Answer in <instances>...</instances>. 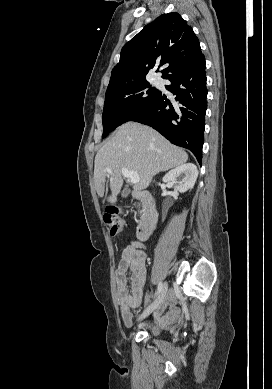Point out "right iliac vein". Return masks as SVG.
Segmentation results:
<instances>
[{"label": "right iliac vein", "instance_id": "1", "mask_svg": "<svg viewBox=\"0 0 272 389\" xmlns=\"http://www.w3.org/2000/svg\"><path fill=\"white\" fill-rule=\"evenodd\" d=\"M168 290V285L166 282L163 283L162 290L157 297V299L152 303L148 308L144 310V312L139 316L138 321L143 320L145 317H147L150 313H152L163 301L166 293Z\"/></svg>", "mask_w": 272, "mask_h": 389}]
</instances>
